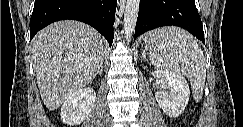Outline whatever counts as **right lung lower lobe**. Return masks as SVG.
<instances>
[{
    "instance_id": "98d812e1",
    "label": "right lung lower lobe",
    "mask_w": 243,
    "mask_h": 127,
    "mask_svg": "<svg viewBox=\"0 0 243 127\" xmlns=\"http://www.w3.org/2000/svg\"><path fill=\"white\" fill-rule=\"evenodd\" d=\"M117 0H35L30 19V39L47 25L65 19L94 27L112 45Z\"/></svg>"
}]
</instances>
